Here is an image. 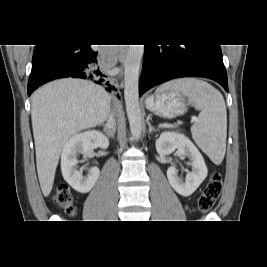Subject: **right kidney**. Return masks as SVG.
I'll list each match as a JSON object with an SVG mask.
<instances>
[{
    "label": "right kidney",
    "mask_w": 267,
    "mask_h": 267,
    "mask_svg": "<svg viewBox=\"0 0 267 267\" xmlns=\"http://www.w3.org/2000/svg\"><path fill=\"white\" fill-rule=\"evenodd\" d=\"M108 146L107 137L96 130L76 134L65 144L61 155V171L64 179L77 192H89L100 174L97 167H92L88 170V174L83 176L76 167L77 154L81 153L86 157L90 150L98 147L105 149Z\"/></svg>",
    "instance_id": "right-kidney-1"
}]
</instances>
